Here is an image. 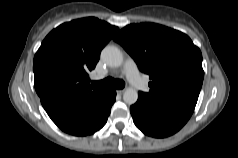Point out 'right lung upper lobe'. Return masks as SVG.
Returning a JSON list of instances; mask_svg holds the SVG:
<instances>
[{
    "label": "right lung upper lobe",
    "mask_w": 238,
    "mask_h": 158,
    "mask_svg": "<svg viewBox=\"0 0 238 158\" xmlns=\"http://www.w3.org/2000/svg\"><path fill=\"white\" fill-rule=\"evenodd\" d=\"M119 30L94 17L64 23L43 40L33 61L34 85L46 94H89L105 89L90 83L102 48Z\"/></svg>",
    "instance_id": "cb5924a9"
}]
</instances>
